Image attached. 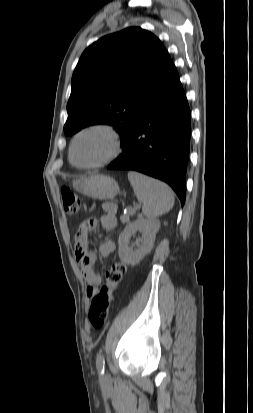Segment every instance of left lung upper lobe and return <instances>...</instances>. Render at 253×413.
<instances>
[{
    "mask_svg": "<svg viewBox=\"0 0 253 413\" xmlns=\"http://www.w3.org/2000/svg\"><path fill=\"white\" fill-rule=\"evenodd\" d=\"M171 62L161 41L140 27L126 28L90 45L72 76L65 135L89 125L110 124L122 142Z\"/></svg>",
    "mask_w": 253,
    "mask_h": 413,
    "instance_id": "1",
    "label": "left lung upper lobe"
}]
</instances>
